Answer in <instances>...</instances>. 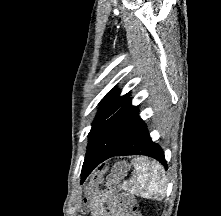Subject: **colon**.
<instances>
[{
    "label": "colon",
    "mask_w": 221,
    "mask_h": 216,
    "mask_svg": "<svg viewBox=\"0 0 221 216\" xmlns=\"http://www.w3.org/2000/svg\"><path fill=\"white\" fill-rule=\"evenodd\" d=\"M124 171L123 167L117 168L111 177L107 179V193L109 197L117 205L122 216H140L137 210V203L135 198L125 192L118 184L116 177ZM105 168L99 170L93 177L92 182L89 185L87 196L84 199L86 205H93L100 199L99 184L102 182Z\"/></svg>",
    "instance_id": "colon-1"
}]
</instances>
